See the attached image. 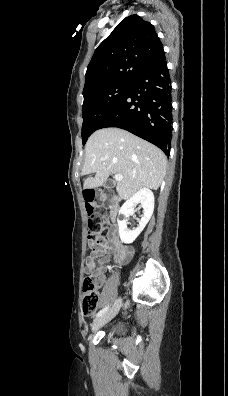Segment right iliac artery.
I'll list each match as a JSON object with an SVG mask.
<instances>
[{
	"label": "right iliac artery",
	"mask_w": 228,
	"mask_h": 396,
	"mask_svg": "<svg viewBox=\"0 0 228 396\" xmlns=\"http://www.w3.org/2000/svg\"><path fill=\"white\" fill-rule=\"evenodd\" d=\"M108 308H109V306H106L105 308H103L102 310H100V311L97 313L96 317H100L101 315H103L104 313H106L107 310H108Z\"/></svg>",
	"instance_id": "right-iliac-artery-1"
}]
</instances>
